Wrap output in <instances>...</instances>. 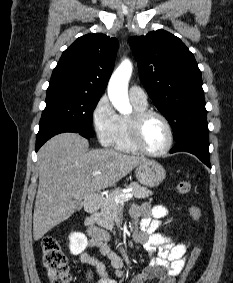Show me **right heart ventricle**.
Here are the masks:
<instances>
[{
  "mask_svg": "<svg viewBox=\"0 0 233 283\" xmlns=\"http://www.w3.org/2000/svg\"><path fill=\"white\" fill-rule=\"evenodd\" d=\"M133 105L135 112L147 109V104L140 105L133 103ZM130 117L131 116H125V115H120L118 117L117 131L113 144L118 151H122L126 153H137L139 151L135 148L130 138V130H129Z\"/></svg>",
  "mask_w": 233,
  "mask_h": 283,
  "instance_id": "obj_1",
  "label": "right heart ventricle"
}]
</instances>
